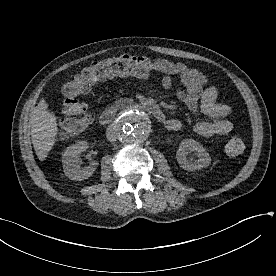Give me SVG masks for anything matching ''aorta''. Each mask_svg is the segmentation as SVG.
Masks as SVG:
<instances>
[{
    "instance_id": "1",
    "label": "aorta",
    "mask_w": 276,
    "mask_h": 276,
    "mask_svg": "<svg viewBox=\"0 0 276 276\" xmlns=\"http://www.w3.org/2000/svg\"><path fill=\"white\" fill-rule=\"evenodd\" d=\"M147 114L138 108H130L123 112L117 123L119 139L126 144L143 142L149 132Z\"/></svg>"
}]
</instances>
